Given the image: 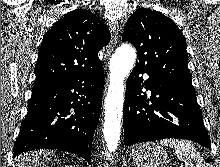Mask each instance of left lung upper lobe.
I'll return each mask as SVG.
<instances>
[{
	"label": "left lung upper lobe",
	"instance_id": "left-lung-upper-lobe-1",
	"mask_svg": "<svg viewBox=\"0 0 220 167\" xmlns=\"http://www.w3.org/2000/svg\"><path fill=\"white\" fill-rule=\"evenodd\" d=\"M122 40L136 47V66L168 79L191 81L184 35L161 12L136 10L127 21Z\"/></svg>",
	"mask_w": 220,
	"mask_h": 167
}]
</instances>
